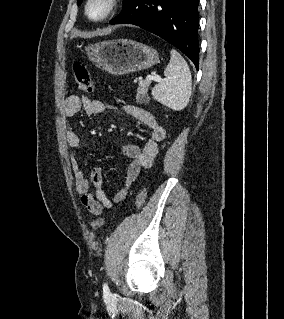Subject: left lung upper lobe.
Instances as JSON below:
<instances>
[{"mask_svg":"<svg viewBox=\"0 0 284 319\" xmlns=\"http://www.w3.org/2000/svg\"><path fill=\"white\" fill-rule=\"evenodd\" d=\"M78 1V5H80L82 3V0H77ZM131 0H124V6L123 8L130 2Z\"/></svg>","mask_w":284,"mask_h":319,"instance_id":"1","label":"left lung upper lobe"}]
</instances>
